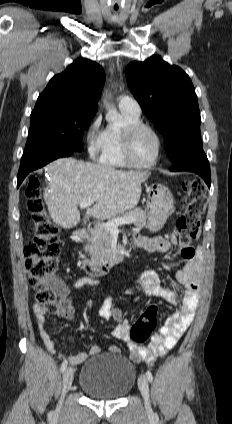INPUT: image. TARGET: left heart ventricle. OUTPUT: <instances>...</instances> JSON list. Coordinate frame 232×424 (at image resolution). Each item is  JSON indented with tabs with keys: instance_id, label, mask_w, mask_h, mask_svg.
I'll return each instance as SVG.
<instances>
[{
	"instance_id": "b2bd125f",
	"label": "left heart ventricle",
	"mask_w": 232,
	"mask_h": 424,
	"mask_svg": "<svg viewBox=\"0 0 232 424\" xmlns=\"http://www.w3.org/2000/svg\"><path fill=\"white\" fill-rule=\"evenodd\" d=\"M157 150V141L148 130H141L135 136L132 146V156L137 163L151 162Z\"/></svg>"
}]
</instances>
